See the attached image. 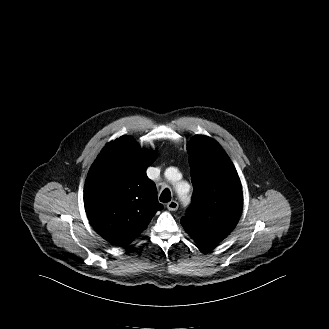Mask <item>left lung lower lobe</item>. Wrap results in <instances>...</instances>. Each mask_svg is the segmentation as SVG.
Masks as SVG:
<instances>
[{
  "label": "left lung lower lobe",
  "instance_id": "0a47b994",
  "mask_svg": "<svg viewBox=\"0 0 329 329\" xmlns=\"http://www.w3.org/2000/svg\"><path fill=\"white\" fill-rule=\"evenodd\" d=\"M219 242H203L200 243L199 245L201 246L202 250H211L215 247V245Z\"/></svg>",
  "mask_w": 329,
  "mask_h": 329
}]
</instances>
